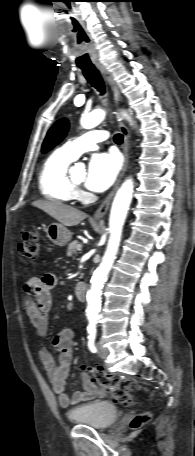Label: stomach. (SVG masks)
Here are the masks:
<instances>
[{
  "label": "stomach",
  "mask_w": 195,
  "mask_h": 456,
  "mask_svg": "<svg viewBox=\"0 0 195 456\" xmlns=\"http://www.w3.org/2000/svg\"><path fill=\"white\" fill-rule=\"evenodd\" d=\"M49 240L57 246H65L71 240V232L62 224L51 223L46 228Z\"/></svg>",
  "instance_id": "stomach-1"
}]
</instances>
